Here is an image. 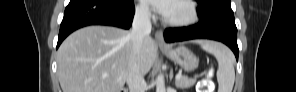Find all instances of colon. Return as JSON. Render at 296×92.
<instances>
[{"mask_svg":"<svg viewBox=\"0 0 296 92\" xmlns=\"http://www.w3.org/2000/svg\"><path fill=\"white\" fill-rule=\"evenodd\" d=\"M210 80L205 78L200 82V92H208L210 88Z\"/></svg>","mask_w":296,"mask_h":92,"instance_id":"5ec220e1","label":"colon"}]
</instances>
